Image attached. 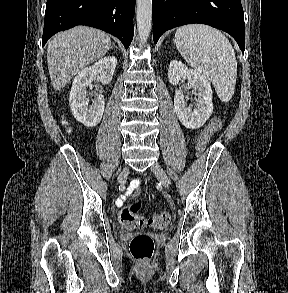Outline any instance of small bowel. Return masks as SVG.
I'll use <instances>...</instances> for the list:
<instances>
[{
  "instance_id": "small-bowel-1",
  "label": "small bowel",
  "mask_w": 288,
  "mask_h": 293,
  "mask_svg": "<svg viewBox=\"0 0 288 293\" xmlns=\"http://www.w3.org/2000/svg\"><path fill=\"white\" fill-rule=\"evenodd\" d=\"M125 198H126L125 196H122L121 198L118 199L117 201L118 206H121L123 204Z\"/></svg>"
}]
</instances>
